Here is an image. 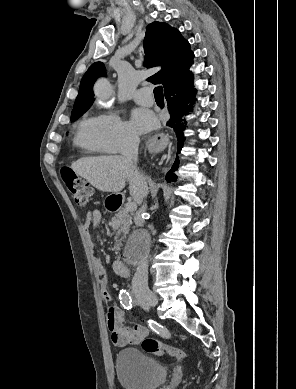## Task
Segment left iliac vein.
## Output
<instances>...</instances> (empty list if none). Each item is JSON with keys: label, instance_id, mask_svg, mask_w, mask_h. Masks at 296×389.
Wrapping results in <instances>:
<instances>
[{"label": "left iliac vein", "instance_id": "4c4485c4", "mask_svg": "<svg viewBox=\"0 0 296 389\" xmlns=\"http://www.w3.org/2000/svg\"><path fill=\"white\" fill-rule=\"evenodd\" d=\"M142 307L146 310H148L149 306L148 305H145V304H142Z\"/></svg>", "mask_w": 296, "mask_h": 389}]
</instances>
